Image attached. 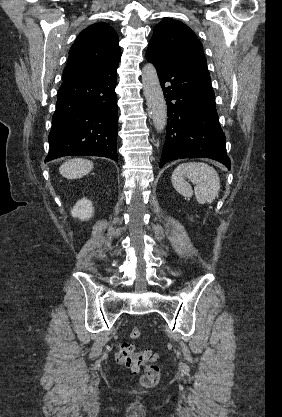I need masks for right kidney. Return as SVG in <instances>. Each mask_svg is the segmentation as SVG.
<instances>
[{
    "label": "right kidney",
    "instance_id": "ca27d5eb",
    "mask_svg": "<svg viewBox=\"0 0 282 417\" xmlns=\"http://www.w3.org/2000/svg\"><path fill=\"white\" fill-rule=\"evenodd\" d=\"M93 213L94 206L88 198H80V200H77L76 204H74L73 209H71L72 217H76V219H80V221H89V219L93 217Z\"/></svg>",
    "mask_w": 282,
    "mask_h": 417
}]
</instances>
